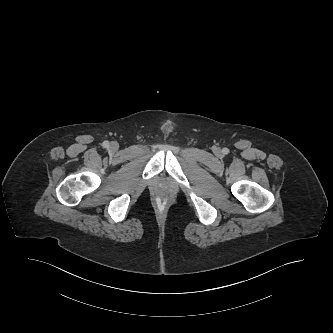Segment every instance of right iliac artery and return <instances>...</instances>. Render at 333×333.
I'll use <instances>...</instances> for the list:
<instances>
[{
  "label": "right iliac artery",
  "mask_w": 333,
  "mask_h": 333,
  "mask_svg": "<svg viewBox=\"0 0 333 333\" xmlns=\"http://www.w3.org/2000/svg\"><path fill=\"white\" fill-rule=\"evenodd\" d=\"M102 146L104 148H108L109 147V142L108 141H104L103 144H102Z\"/></svg>",
  "instance_id": "right-iliac-artery-1"
}]
</instances>
